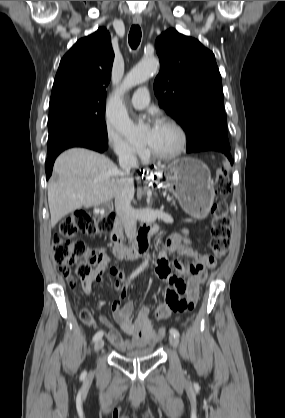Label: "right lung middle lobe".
<instances>
[{"mask_svg": "<svg viewBox=\"0 0 285 418\" xmlns=\"http://www.w3.org/2000/svg\"><path fill=\"white\" fill-rule=\"evenodd\" d=\"M104 115L105 104L71 101L49 104L47 153L77 139L108 143Z\"/></svg>", "mask_w": 285, "mask_h": 418, "instance_id": "obj_1", "label": "right lung middle lobe"}]
</instances>
